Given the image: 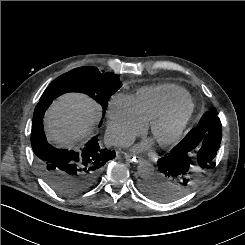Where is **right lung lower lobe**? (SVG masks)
Instances as JSON below:
<instances>
[{
    "label": "right lung lower lobe",
    "mask_w": 245,
    "mask_h": 245,
    "mask_svg": "<svg viewBox=\"0 0 245 245\" xmlns=\"http://www.w3.org/2000/svg\"><path fill=\"white\" fill-rule=\"evenodd\" d=\"M52 100L37 104L32 121L31 144L38 170L57 193L75 197L97 182L102 167L116 156L115 151L101 148L97 136L80 150L57 149L50 145L44 133L43 116Z\"/></svg>",
    "instance_id": "obj_1"
}]
</instances>
